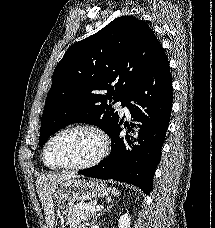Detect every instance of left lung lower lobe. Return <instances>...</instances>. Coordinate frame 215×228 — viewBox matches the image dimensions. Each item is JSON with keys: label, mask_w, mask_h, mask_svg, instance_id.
Here are the masks:
<instances>
[{"label": "left lung lower lobe", "mask_w": 215, "mask_h": 228, "mask_svg": "<svg viewBox=\"0 0 215 228\" xmlns=\"http://www.w3.org/2000/svg\"><path fill=\"white\" fill-rule=\"evenodd\" d=\"M171 80L169 62L162 49L123 104L129 109L133 121L143 124L139 125L138 144L131 151L126 150L120 128L123 120L119 121L110 136V155L98 165L78 171L79 174L126 182L139 187L145 194L150 193L172 109ZM126 138L130 145L128 135Z\"/></svg>", "instance_id": "0a47b994"}]
</instances>
